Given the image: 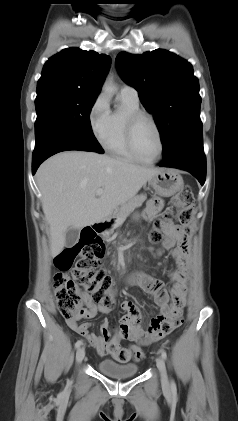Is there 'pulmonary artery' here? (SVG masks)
I'll list each match as a JSON object with an SVG mask.
<instances>
[{
    "label": "pulmonary artery",
    "mask_w": 238,
    "mask_h": 421,
    "mask_svg": "<svg viewBox=\"0 0 238 421\" xmlns=\"http://www.w3.org/2000/svg\"><path fill=\"white\" fill-rule=\"evenodd\" d=\"M120 96L125 97L133 102H139L138 92L129 85H123L120 89Z\"/></svg>",
    "instance_id": "obj_1"
}]
</instances>
